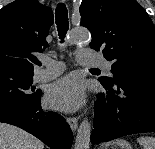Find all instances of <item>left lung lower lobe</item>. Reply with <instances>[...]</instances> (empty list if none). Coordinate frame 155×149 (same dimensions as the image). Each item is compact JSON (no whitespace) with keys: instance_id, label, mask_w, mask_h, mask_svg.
Listing matches in <instances>:
<instances>
[{"instance_id":"0a47b994","label":"left lung lower lobe","mask_w":155,"mask_h":149,"mask_svg":"<svg viewBox=\"0 0 155 149\" xmlns=\"http://www.w3.org/2000/svg\"><path fill=\"white\" fill-rule=\"evenodd\" d=\"M107 92L98 94L91 142L98 144L122 136L155 132V68H132L114 82L100 80ZM119 88L122 89L120 92Z\"/></svg>"}]
</instances>
